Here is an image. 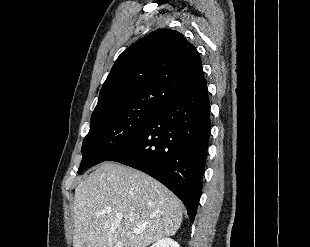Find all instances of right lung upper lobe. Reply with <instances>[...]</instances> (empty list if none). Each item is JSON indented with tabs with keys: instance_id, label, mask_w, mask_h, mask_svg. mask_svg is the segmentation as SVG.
<instances>
[{
	"instance_id": "right-lung-upper-lobe-1",
	"label": "right lung upper lobe",
	"mask_w": 310,
	"mask_h": 247,
	"mask_svg": "<svg viewBox=\"0 0 310 247\" xmlns=\"http://www.w3.org/2000/svg\"><path fill=\"white\" fill-rule=\"evenodd\" d=\"M204 85L196 48L181 33L158 29L119 55L91 118L136 107L159 110Z\"/></svg>"
}]
</instances>
